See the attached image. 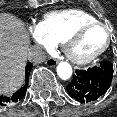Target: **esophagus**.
<instances>
[{"instance_id": "1", "label": "esophagus", "mask_w": 117, "mask_h": 117, "mask_svg": "<svg viewBox=\"0 0 117 117\" xmlns=\"http://www.w3.org/2000/svg\"><path fill=\"white\" fill-rule=\"evenodd\" d=\"M57 63H58V61H57L56 59H54V58H48V59L46 60V62H45V64H46L47 66H49V67H54V66L57 65Z\"/></svg>"}]
</instances>
